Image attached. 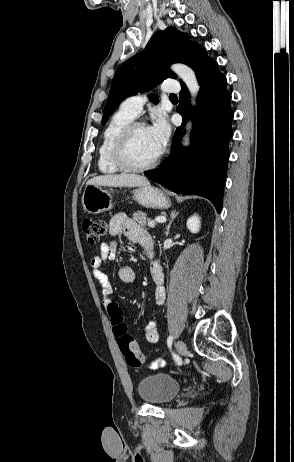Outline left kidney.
Segmentation results:
<instances>
[{
	"label": "left kidney",
	"mask_w": 294,
	"mask_h": 462,
	"mask_svg": "<svg viewBox=\"0 0 294 462\" xmlns=\"http://www.w3.org/2000/svg\"><path fill=\"white\" fill-rule=\"evenodd\" d=\"M187 228L189 229V231L191 233H198L199 230H200V226H201V223H200V217L196 214H194L193 216H191L188 220H187Z\"/></svg>",
	"instance_id": "obj_1"
}]
</instances>
